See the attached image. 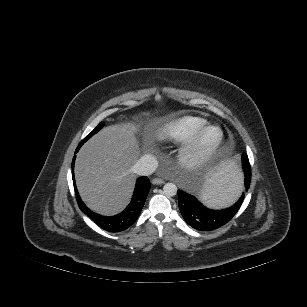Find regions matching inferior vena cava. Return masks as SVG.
<instances>
[{"mask_svg":"<svg viewBox=\"0 0 307 307\" xmlns=\"http://www.w3.org/2000/svg\"><path fill=\"white\" fill-rule=\"evenodd\" d=\"M158 167V161L155 156L151 154H145L141 156L134 164L132 170L134 173L141 176H148L154 173Z\"/></svg>","mask_w":307,"mask_h":307,"instance_id":"1","label":"inferior vena cava"}]
</instances>
